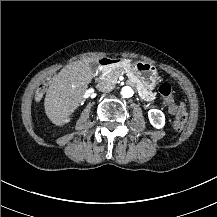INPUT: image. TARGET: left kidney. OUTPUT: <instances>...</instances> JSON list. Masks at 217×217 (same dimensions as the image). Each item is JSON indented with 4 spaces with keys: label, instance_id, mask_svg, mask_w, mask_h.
Instances as JSON below:
<instances>
[{
    "label": "left kidney",
    "instance_id": "5707ae66",
    "mask_svg": "<svg viewBox=\"0 0 217 217\" xmlns=\"http://www.w3.org/2000/svg\"><path fill=\"white\" fill-rule=\"evenodd\" d=\"M150 124L157 130H163L166 120L164 113L159 109H150L148 111Z\"/></svg>",
    "mask_w": 217,
    "mask_h": 217
}]
</instances>
